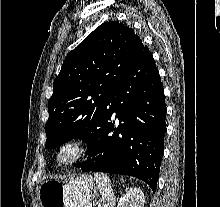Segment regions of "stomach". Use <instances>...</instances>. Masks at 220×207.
Returning <instances> with one entry per match:
<instances>
[{
	"label": "stomach",
	"mask_w": 220,
	"mask_h": 207,
	"mask_svg": "<svg viewBox=\"0 0 220 207\" xmlns=\"http://www.w3.org/2000/svg\"><path fill=\"white\" fill-rule=\"evenodd\" d=\"M98 191V182L91 175L71 174L45 180L39 187V199L41 207H86Z\"/></svg>",
	"instance_id": "0dacf381"
}]
</instances>
